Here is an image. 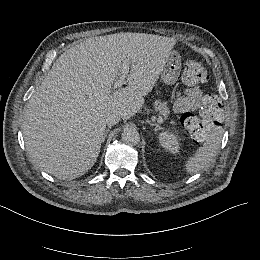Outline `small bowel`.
<instances>
[{"mask_svg":"<svg viewBox=\"0 0 260 260\" xmlns=\"http://www.w3.org/2000/svg\"><path fill=\"white\" fill-rule=\"evenodd\" d=\"M208 98L198 86H188L184 91L175 92V101L173 110L175 113L193 112L199 109L205 111V105Z\"/></svg>","mask_w":260,"mask_h":260,"instance_id":"obj_1","label":"small bowel"}]
</instances>
